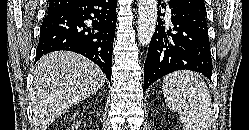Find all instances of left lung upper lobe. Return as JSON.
<instances>
[{
  "instance_id": "1",
  "label": "left lung upper lobe",
  "mask_w": 249,
  "mask_h": 130,
  "mask_svg": "<svg viewBox=\"0 0 249 130\" xmlns=\"http://www.w3.org/2000/svg\"><path fill=\"white\" fill-rule=\"evenodd\" d=\"M183 6L200 15H206L204 0H178Z\"/></svg>"
}]
</instances>
